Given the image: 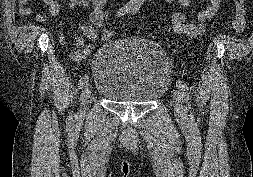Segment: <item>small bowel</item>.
Returning <instances> with one entry per match:
<instances>
[{
    "mask_svg": "<svg viewBox=\"0 0 253 177\" xmlns=\"http://www.w3.org/2000/svg\"><path fill=\"white\" fill-rule=\"evenodd\" d=\"M20 1V16L25 17L31 13L30 0ZM47 6L49 13L53 17H57L60 13V5L57 0H42ZM172 5L181 7L171 16L173 31L177 34H183L188 38H196L203 34L206 29V24L211 21L218 13L222 0H208V4L201 9L196 18L187 22L186 9L190 6L191 0H165ZM108 0H70L69 6L72 10H77L79 7L84 8L89 12V22L81 23L79 30L81 35L73 37L76 51L71 53L73 59H80L86 56L91 50V44H86L85 39L91 43L96 41L98 34L104 24V8ZM38 19L43 21L45 17L39 15Z\"/></svg>",
    "mask_w": 253,
    "mask_h": 177,
    "instance_id": "obj_1",
    "label": "small bowel"
}]
</instances>
